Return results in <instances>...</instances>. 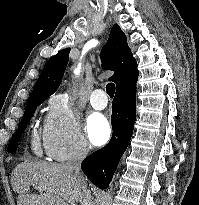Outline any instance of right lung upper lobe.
I'll list each match as a JSON object with an SVG mask.
<instances>
[{
    "instance_id": "obj_1",
    "label": "right lung upper lobe",
    "mask_w": 199,
    "mask_h": 205,
    "mask_svg": "<svg viewBox=\"0 0 199 205\" xmlns=\"http://www.w3.org/2000/svg\"><path fill=\"white\" fill-rule=\"evenodd\" d=\"M70 50V48L60 50L47 61L34 85L28 102L47 99L57 90L69 60ZM100 57L102 67L105 70L114 71L109 80L116 84V89L139 74L136 59L127 44L126 36L117 24L112 27L109 39L102 48Z\"/></svg>"
}]
</instances>
